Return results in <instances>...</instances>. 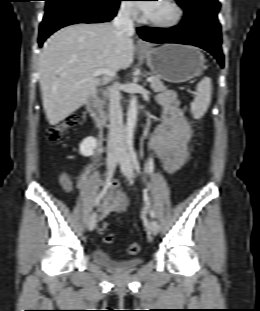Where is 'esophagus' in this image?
<instances>
[{
    "label": "esophagus",
    "mask_w": 260,
    "mask_h": 311,
    "mask_svg": "<svg viewBox=\"0 0 260 311\" xmlns=\"http://www.w3.org/2000/svg\"><path fill=\"white\" fill-rule=\"evenodd\" d=\"M138 45L141 46V47H144V48L148 47V45L144 41H142V40L138 41Z\"/></svg>",
    "instance_id": "esophagus-1"
}]
</instances>
